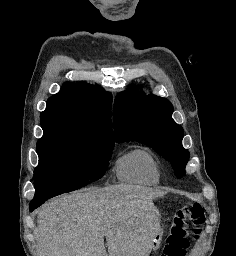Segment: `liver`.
<instances>
[{"mask_svg":"<svg viewBox=\"0 0 236 256\" xmlns=\"http://www.w3.org/2000/svg\"><path fill=\"white\" fill-rule=\"evenodd\" d=\"M155 196L153 188L119 184L51 200L37 214L41 256H147L142 224Z\"/></svg>","mask_w":236,"mask_h":256,"instance_id":"6515ba94","label":"liver"}]
</instances>
